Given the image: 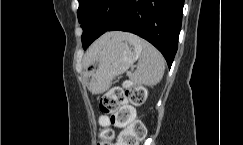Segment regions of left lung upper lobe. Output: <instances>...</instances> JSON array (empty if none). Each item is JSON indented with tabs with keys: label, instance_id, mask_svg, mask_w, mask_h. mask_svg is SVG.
Masks as SVG:
<instances>
[{
	"label": "left lung upper lobe",
	"instance_id": "5c2ea615",
	"mask_svg": "<svg viewBox=\"0 0 243 145\" xmlns=\"http://www.w3.org/2000/svg\"><path fill=\"white\" fill-rule=\"evenodd\" d=\"M78 21L83 28L82 41L87 35L86 22L92 17L95 21H110L118 13L125 0H78Z\"/></svg>",
	"mask_w": 243,
	"mask_h": 145
}]
</instances>
